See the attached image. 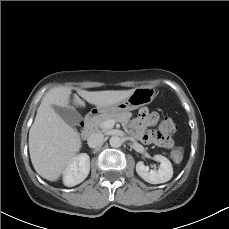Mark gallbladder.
Returning <instances> with one entry per match:
<instances>
[{
    "label": "gallbladder",
    "instance_id": "1",
    "mask_svg": "<svg viewBox=\"0 0 229 229\" xmlns=\"http://www.w3.org/2000/svg\"><path fill=\"white\" fill-rule=\"evenodd\" d=\"M54 110L60 115V117L70 126H77L81 120V115L71 107H59L53 106Z\"/></svg>",
    "mask_w": 229,
    "mask_h": 229
}]
</instances>
